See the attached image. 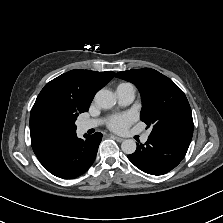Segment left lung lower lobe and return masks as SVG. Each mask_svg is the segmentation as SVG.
<instances>
[{"label": "left lung lower lobe", "mask_w": 223, "mask_h": 223, "mask_svg": "<svg viewBox=\"0 0 223 223\" xmlns=\"http://www.w3.org/2000/svg\"><path fill=\"white\" fill-rule=\"evenodd\" d=\"M187 150L188 147L149 136L144 145L137 144V150L128 159L145 173L162 175L175 168Z\"/></svg>", "instance_id": "obj_1"}]
</instances>
